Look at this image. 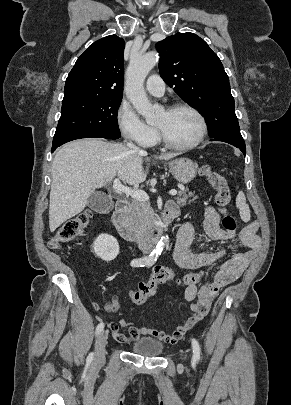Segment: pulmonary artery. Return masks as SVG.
<instances>
[{
	"label": "pulmonary artery",
	"instance_id": "1",
	"mask_svg": "<svg viewBox=\"0 0 291 405\" xmlns=\"http://www.w3.org/2000/svg\"><path fill=\"white\" fill-rule=\"evenodd\" d=\"M146 89L152 95L162 96L165 90V83L159 75L152 74L146 81Z\"/></svg>",
	"mask_w": 291,
	"mask_h": 405
}]
</instances>
